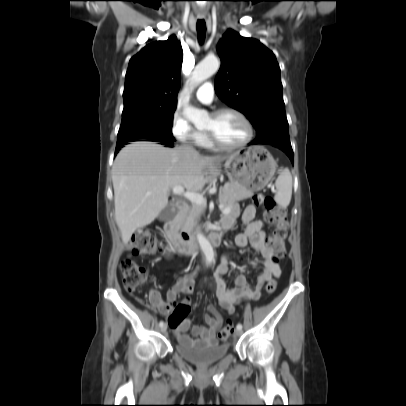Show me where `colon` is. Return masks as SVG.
I'll return each instance as SVG.
<instances>
[{"label":"colon","mask_w":406,"mask_h":406,"mask_svg":"<svg viewBox=\"0 0 406 406\" xmlns=\"http://www.w3.org/2000/svg\"><path fill=\"white\" fill-rule=\"evenodd\" d=\"M254 202L265 208L266 220L274 226V230L269 237V244L273 251L272 260L277 263L283 255V248L287 236L286 210L275 204L272 197L263 194L254 196ZM130 250L133 256L151 255L161 249L162 245L146 228L135 231L129 241ZM122 282L124 288L129 292H135L139 286L148 279V270L139 265L134 259L126 258L120 265ZM277 287V282L271 279L267 282L265 291L272 294ZM190 308L178 305L169 318L170 325H177L189 314ZM234 325L228 322L218 331V338L226 340L233 332Z\"/></svg>","instance_id":"5ec220e1"}]
</instances>
